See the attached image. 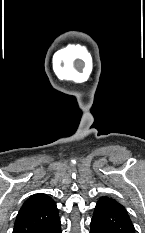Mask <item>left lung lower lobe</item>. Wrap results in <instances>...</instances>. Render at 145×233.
Returning <instances> with one entry per match:
<instances>
[{
	"instance_id": "obj_1",
	"label": "left lung lower lobe",
	"mask_w": 145,
	"mask_h": 233,
	"mask_svg": "<svg viewBox=\"0 0 145 233\" xmlns=\"http://www.w3.org/2000/svg\"><path fill=\"white\" fill-rule=\"evenodd\" d=\"M90 226H91L90 233H108L93 220L91 221Z\"/></svg>"
}]
</instances>
